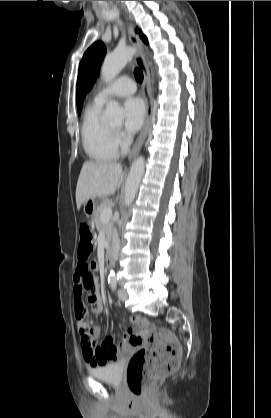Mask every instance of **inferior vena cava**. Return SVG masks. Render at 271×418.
I'll return each instance as SVG.
<instances>
[{"label": "inferior vena cava", "instance_id": "inferior-vena-cava-1", "mask_svg": "<svg viewBox=\"0 0 271 418\" xmlns=\"http://www.w3.org/2000/svg\"><path fill=\"white\" fill-rule=\"evenodd\" d=\"M119 249V236L116 229L113 232V239H112V251L113 254L116 255Z\"/></svg>", "mask_w": 271, "mask_h": 418}]
</instances>
